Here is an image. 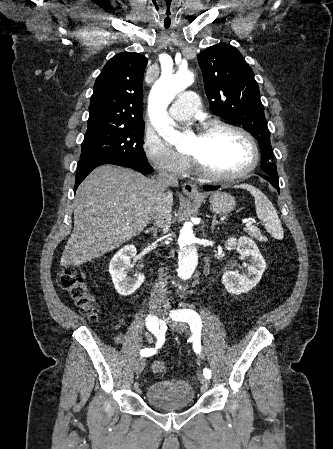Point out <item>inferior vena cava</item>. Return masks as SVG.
Returning <instances> with one entry per match:
<instances>
[{"label": "inferior vena cava", "mask_w": 333, "mask_h": 449, "mask_svg": "<svg viewBox=\"0 0 333 449\" xmlns=\"http://www.w3.org/2000/svg\"><path fill=\"white\" fill-rule=\"evenodd\" d=\"M178 184L177 179L171 173L162 171L157 178L158 196L156 206L153 210L152 219L155 221L157 227L163 232L162 240L167 237L171 222V207L167 199V191L169 186ZM167 273L165 269H159L158 279L155 282L154 289L150 296V303H154L158 298L167 291Z\"/></svg>", "instance_id": "inferior-vena-cava-1"}]
</instances>
